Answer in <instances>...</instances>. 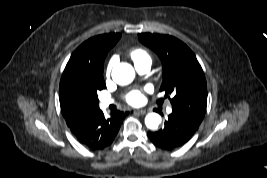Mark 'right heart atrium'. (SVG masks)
I'll list each match as a JSON object with an SVG mask.
<instances>
[{"mask_svg":"<svg viewBox=\"0 0 267 178\" xmlns=\"http://www.w3.org/2000/svg\"><path fill=\"white\" fill-rule=\"evenodd\" d=\"M111 67H112V64H109V65H107V67H106V70H105V72H106V75H107V76H109V75H110V72H111Z\"/></svg>","mask_w":267,"mask_h":178,"instance_id":"1","label":"right heart atrium"}]
</instances>
